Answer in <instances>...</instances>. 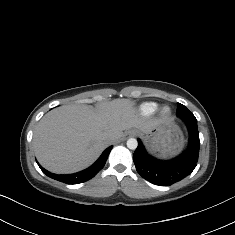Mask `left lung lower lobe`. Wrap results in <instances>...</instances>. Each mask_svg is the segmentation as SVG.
<instances>
[{
	"mask_svg": "<svg viewBox=\"0 0 235 235\" xmlns=\"http://www.w3.org/2000/svg\"><path fill=\"white\" fill-rule=\"evenodd\" d=\"M189 131V144L187 150L180 156L163 161L150 156L140 139L138 147L133 154V161L137 172L146 180L157 185H171L185 178L196 167L199 156V132L196 118H181Z\"/></svg>",
	"mask_w": 235,
	"mask_h": 235,
	"instance_id": "obj_1",
	"label": "left lung lower lobe"
}]
</instances>
